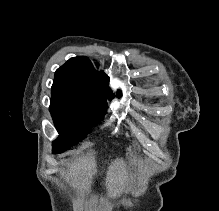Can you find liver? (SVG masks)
I'll return each mask as SVG.
<instances>
[{
	"instance_id": "obj_1",
	"label": "liver",
	"mask_w": 219,
	"mask_h": 211,
	"mask_svg": "<svg viewBox=\"0 0 219 211\" xmlns=\"http://www.w3.org/2000/svg\"><path fill=\"white\" fill-rule=\"evenodd\" d=\"M92 161H88V159H79V161H72L70 163L69 169H67L65 173V177L69 179L71 177L73 185L77 187H84V189H88V183H92V181H89V177L93 175L92 173ZM116 167L115 165H111L106 181V185H109V187H113V185H116L118 181V175H120L119 171H115Z\"/></svg>"
}]
</instances>
